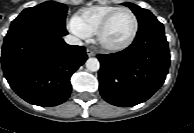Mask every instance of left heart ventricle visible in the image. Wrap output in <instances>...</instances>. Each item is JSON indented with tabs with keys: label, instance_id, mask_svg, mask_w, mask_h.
I'll return each mask as SVG.
<instances>
[{
	"label": "left heart ventricle",
	"instance_id": "left-heart-ventricle-1",
	"mask_svg": "<svg viewBox=\"0 0 194 133\" xmlns=\"http://www.w3.org/2000/svg\"><path fill=\"white\" fill-rule=\"evenodd\" d=\"M134 28V20L130 13L120 12L106 35V40L112 44H120L126 41Z\"/></svg>",
	"mask_w": 194,
	"mask_h": 133
}]
</instances>
